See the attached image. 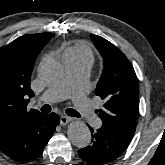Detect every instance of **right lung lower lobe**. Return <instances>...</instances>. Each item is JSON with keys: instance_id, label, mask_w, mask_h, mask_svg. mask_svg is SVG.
<instances>
[{"instance_id": "right-lung-lower-lobe-1", "label": "right lung lower lobe", "mask_w": 165, "mask_h": 165, "mask_svg": "<svg viewBox=\"0 0 165 165\" xmlns=\"http://www.w3.org/2000/svg\"><path fill=\"white\" fill-rule=\"evenodd\" d=\"M57 114H41L0 135V151L17 162H29L42 155L55 132Z\"/></svg>"}]
</instances>
